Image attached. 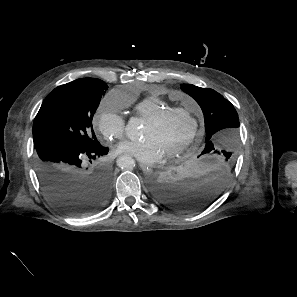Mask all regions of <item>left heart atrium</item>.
<instances>
[{"label":"left heart atrium","instance_id":"left-heart-atrium-1","mask_svg":"<svg viewBox=\"0 0 297 297\" xmlns=\"http://www.w3.org/2000/svg\"><path fill=\"white\" fill-rule=\"evenodd\" d=\"M117 152L130 155L144 164L155 163L164 155L158 143L152 138L123 141L118 145Z\"/></svg>","mask_w":297,"mask_h":297}]
</instances>
